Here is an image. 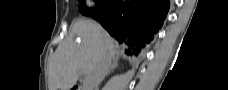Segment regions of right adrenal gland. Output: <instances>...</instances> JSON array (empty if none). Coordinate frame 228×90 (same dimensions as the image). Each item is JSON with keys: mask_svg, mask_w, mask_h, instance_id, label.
Here are the masks:
<instances>
[{"mask_svg": "<svg viewBox=\"0 0 228 90\" xmlns=\"http://www.w3.org/2000/svg\"><path fill=\"white\" fill-rule=\"evenodd\" d=\"M117 66H118V60L116 59L110 65V68H109V70L106 73V76L109 75L111 73V71H113Z\"/></svg>", "mask_w": 228, "mask_h": 90, "instance_id": "2a0ac1e0", "label": "right adrenal gland"}]
</instances>
